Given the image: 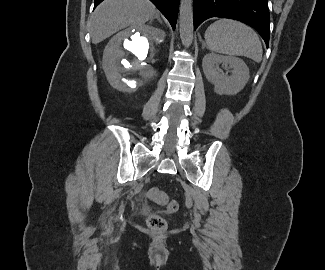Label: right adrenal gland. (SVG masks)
Returning <instances> with one entry per match:
<instances>
[{"label": "right adrenal gland", "mask_w": 325, "mask_h": 270, "mask_svg": "<svg viewBox=\"0 0 325 270\" xmlns=\"http://www.w3.org/2000/svg\"><path fill=\"white\" fill-rule=\"evenodd\" d=\"M154 19H157V20L162 24V20H161V18L159 17L158 14H156V15L154 16ZM152 21H153V18L150 20V22H152Z\"/></svg>", "instance_id": "2a0ac1e0"}]
</instances>
